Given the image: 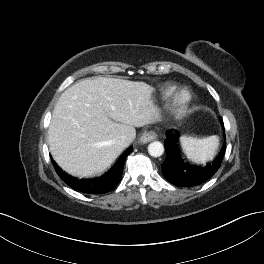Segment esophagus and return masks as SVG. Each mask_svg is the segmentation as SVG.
<instances>
[{
	"label": "esophagus",
	"mask_w": 264,
	"mask_h": 264,
	"mask_svg": "<svg viewBox=\"0 0 264 264\" xmlns=\"http://www.w3.org/2000/svg\"><path fill=\"white\" fill-rule=\"evenodd\" d=\"M157 138V134L154 131H145L139 138V142L142 144H146L152 140Z\"/></svg>",
	"instance_id": "obj_1"
}]
</instances>
